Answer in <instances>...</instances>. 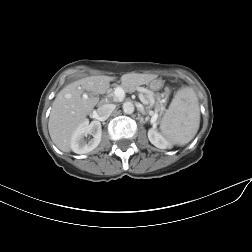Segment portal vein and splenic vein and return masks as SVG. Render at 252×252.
<instances>
[{
    "mask_svg": "<svg viewBox=\"0 0 252 252\" xmlns=\"http://www.w3.org/2000/svg\"><path fill=\"white\" fill-rule=\"evenodd\" d=\"M84 97L86 98L87 95H84ZM114 97H115L116 100H122V99H124V97H125V92H124V90H123L122 88H120V87L116 88L115 91H114ZM139 99L141 100V102H142L143 104L145 103V99H144V97L142 96V94L139 95ZM152 119H153L154 121H156L157 115L152 113Z\"/></svg>",
    "mask_w": 252,
    "mask_h": 252,
    "instance_id": "portal-vein-and-splenic-vein-1",
    "label": "portal vein and splenic vein"
}]
</instances>
